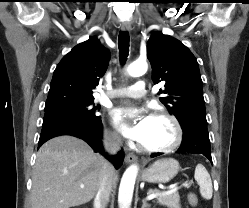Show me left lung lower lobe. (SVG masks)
Returning a JSON list of instances; mask_svg holds the SVG:
<instances>
[{
  "mask_svg": "<svg viewBox=\"0 0 249 208\" xmlns=\"http://www.w3.org/2000/svg\"><path fill=\"white\" fill-rule=\"evenodd\" d=\"M186 152L203 154L212 163L207 124L193 122L183 129V139L177 153ZM158 155L161 153L153 154L151 157Z\"/></svg>",
  "mask_w": 249,
  "mask_h": 208,
  "instance_id": "left-lung-lower-lobe-1",
  "label": "left lung lower lobe"
}]
</instances>
